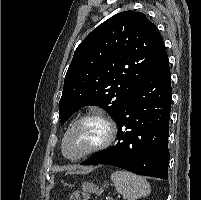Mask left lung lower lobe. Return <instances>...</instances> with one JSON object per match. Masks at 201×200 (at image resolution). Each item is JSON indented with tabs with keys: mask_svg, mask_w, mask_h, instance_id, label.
<instances>
[{
	"mask_svg": "<svg viewBox=\"0 0 201 200\" xmlns=\"http://www.w3.org/2000/svg\"><path fill=\"white\" fill-rule=\"evenodd\" d=\"M172 99L167 53L121 106L115 121L117 143L81 165L107 164L139 175L168 179Z\"/></svg>",
	"mask_w": 201,
	"mask_h": 200,
	"instance_id": "left-lung-lower-lobe-1",
	"label": "left lung lower lobe"
}]
</instances>
